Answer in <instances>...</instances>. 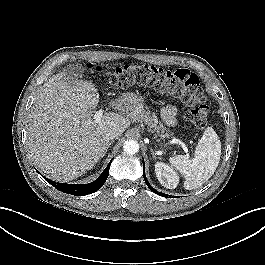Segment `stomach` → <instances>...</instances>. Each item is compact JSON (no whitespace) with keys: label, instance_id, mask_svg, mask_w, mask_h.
<instances>
[{"label":"stomach","instance_id":"0dacf381","mask_svg":"<svg viewBox=\"0 0 265 265\" xmlns=\"http://www.w3.org/2000/svg\"><path fill=\"white\" fill-rule=\"evenodd\" d=\"M130 100V106L132 107V109H136L142 102V99L137 97V96H131L129 97Z\"/></svg>","mask_w":265,"mask_h":265}]
</instances>
